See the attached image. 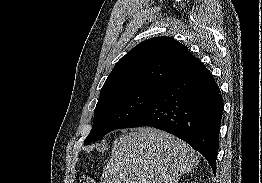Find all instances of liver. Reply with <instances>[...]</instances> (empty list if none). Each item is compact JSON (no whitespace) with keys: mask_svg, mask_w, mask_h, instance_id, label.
<instances>
[{"mask_svg":"<svg viewBox=\"0 0 262 183\" xmlns=\"http://www.w3.org/2000/svg\"><path fill=\"white\" fill-rule=\"evenodd\" d=\"M198 163L199 154L183 140L141 127L116 138L101 183H178Z\"/></svg>","mask_w":262,"mask_h":183,"instance_id":"liver-1","label":"liver"}]
</instances>
